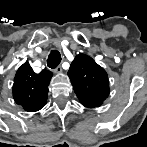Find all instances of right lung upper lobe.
<instances>
[{
  "label": "right lung upper lobe",
  "mask_w": 147,
  "mask_h": 147,
  "mask_svg": "<svg viewBox=\"0 0 147 147\" xmlns=\"http://www.w3.org/2000/svg\"><path fill=\"white\" fill-rule=\"evenodd\" d=\"M52 72L44 70L35 75L26 61L16 72L12 87L15 102L28 112H36L46 105Z\"/></svg>",
  "instance_id": "obj_1"
}]
</instances>
